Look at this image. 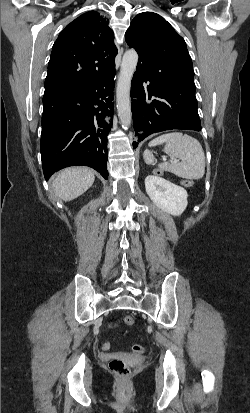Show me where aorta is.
Returning a JSON list of instances; mask_svg holds the SVG:
<instances>
[{"label":"aorta","mask_w":250,"mask_h":413,"mask_svg":"<svg viewBox=\"0 0 250 413\" xmlns=\"http://www.w3.org/2000/svg\"><path fill=\"white\" fill-rule=\"evenodd\" d=\"M137 62L138 54L134 49L124 53L116 91L117 110L123 128L131 124L130 86Z\"/></svg>","instance_id":"aorta-1"}]
</instances>
